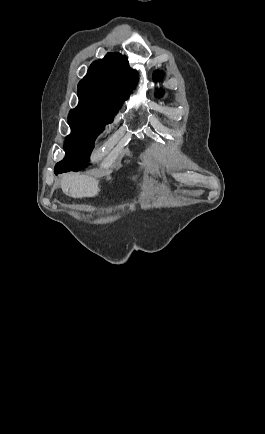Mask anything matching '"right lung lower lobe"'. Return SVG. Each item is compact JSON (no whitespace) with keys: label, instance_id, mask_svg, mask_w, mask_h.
<instances>
[{"label":"right lung lower lobe","instance_id":"right-lung-lower-lobe-1","mask_svg":"<svg viewBox=\"0 0 265 434\" xmlns=\"http://www.w3.org/2000/svg\"><path fill=\"white\" fill-rule=\"evenodd\" d=\"M62 172H67L66 171V169H55L54 170V173L57 175V174H59V173H62Z\"/></svg>","mask_w":265,"mask_h":434}]
</instances>
